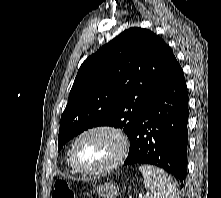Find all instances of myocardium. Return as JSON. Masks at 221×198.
<instances>
[{"label": "myocardium", "instance_id": "f54148a6", "mask_svg": "<svg viewBox=\"0 0 221 198\" xmlns=\"http://www.w3.org/2000/svg\"><path fill=\"white\" fill-rule=\"evenodd\" d=\"M96 132H106L111 135H113L119 144V149L116 154V156L106 165L97 168V169H87L81 167L75 158V148L77 143L85 136L96 133ZM129 151V141L125 133L118 127L113 126V125H108V124H99V125H94L91 126L83 131H81L73 140L71 147H70V152H69V159L70 163L73 166V168L84 175H90V176H98V175H103L106 174L115 168H117L126 158L127 154Z\"/></svg>", "mask_w": 221, "mask_h": 198}]
</instances>
